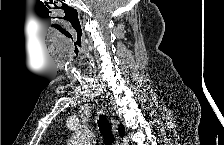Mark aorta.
Returning a JSON list of instances; mask_svg holds the SVG:
<instances>
[{"instance_id": "aorta-1", "label": "aorta", "mask_w": 224, "mask_h": 145, "mask_svg": "<svg viewBox=\"0 0 224 145\" xmlns=\"http://www.w3.org/2000/svg\"><path fill=\"white\" fill-rule=\"evenodd\" d=\"M92 141V135L87 129H81L73 137L75 145H90Z\"/></svg>"}]
</instances>
